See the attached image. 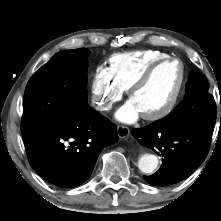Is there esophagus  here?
Wrapping results in <instances>:
<instances>
[{
    "label": "esophagus",
    "instance_id": "1",
    "mask_svg": "<svg viewBox=\"0 0 221 221\" xmlns=\"http://www.w3.org/2000/svg\"><path fill=\"white\" fill-rule=\"evenodd\" d=\"M117 133H118V136H119L120 138H126V137L129 136L130 130H129V128L126 127V126H118V127H117Z\"/></svg>",
    "mask_w": 221,
    "mask_h": 221
}]
</instances>
